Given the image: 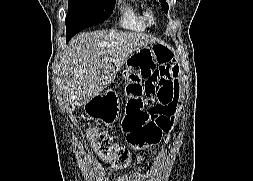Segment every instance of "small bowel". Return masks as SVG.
Returning <instances> with one entry per match:
<instances>
[{"mask_svg":"<svg viewBox=\"0 0 253 181\" xmlns=\"http://www.w3.org/2000/svg\"><path fill=\"white\" fill-rule=\"evenodd\" d=\"M131 66L142 75L141 84L146 93L160 94L167 100L168 114L173 118L177 111L178 70L172 66L157 63L147 53H139ZM144 179V173H137L131 176H122L118 181H141Z\"/></svg>","mask_w":253,"mask_h":181,"instance_id":"1","label":"small bowel"}]
</instances>
